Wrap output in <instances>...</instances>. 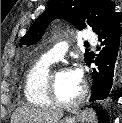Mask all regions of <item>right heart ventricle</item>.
Returning <instances> with one entry per match:
<instances>
[{"label":"right heart ventricle","mask_w":122,"mask_h":123,"mask_svg":"<svg viewBox=\"0 0 122 123\" xmlns=\"http://www.w3.org/2000/svg\"><path fill=\"white\" fill-rule=\"evenodd\" d=\"M54 62L44 55L36 60L27 71L24 95L30 104L37 107H49L52 105L47 96V79L50 67Z\"/></svg>","instance_id":"1"}]
</instances>
